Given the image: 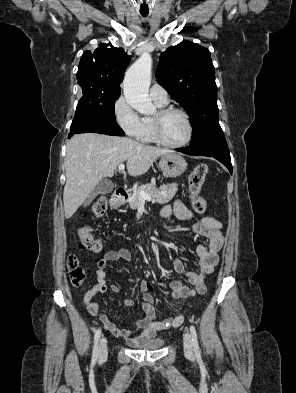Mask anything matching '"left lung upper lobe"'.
<instances>
[{"mask_svg":"<svg viewBox=\"0 0 296 393\" xmlns=\"http://www.w3.org/2000/svg\"><path fill=\"white\" fill-rule=\"evenodd\" d=\"M157 81L187 111L193 129L190 146L225 138L219 125L215 69L210 51L190 41L160 56Z\"/></svg>","mask_w":296,"mask_h":393,"instance_id":"1","label":"left lung upper lobe"}]
</instances>
